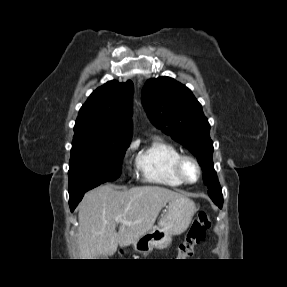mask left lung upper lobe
Masks as SVG:
<instances>
[{
  "mask_svg": "<svg viewBox=\"0 0 287 287\" xmlns=\"http://www.w3.org/2000/svg\"><path fill=\"white\" fill-rule=\"evenodd\" d=\"M142 103L156 127L197 157L208 195L222 206L223 195L212 161L210 125L191 90L170 77L150 79L142 89Z\"/></svg>",
  "mask_w": 287,
  "mask_h": 287,
  "instance_id": "left-lung-upper-lobe-1",
  "label": "left lung upper lobe"
}]
</instances>
